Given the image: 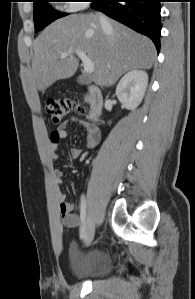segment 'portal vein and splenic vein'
I'll use <instances>...</instances> for the list:
<instances>
[{
    "mask_svg": "<svg viewBox=\"0 0 195 299\" xmlns=\"http://www.w3.org/2000/svg\"><path fill=\"white\" fill-rule=\"evenodd\" d=\"M77 56L81 59L84 65V71L87 74H92L94 72V63L91 59H89L85 52L83 51H76ZM69 55V53H61V57L65 58Z\"/></svg>",
    "mask_w": 195,
    "mask_h": 299,
    "instance_id": "portal-vein-and-splenic-vein-1",
    "label": "portal vein and splenic vein"
}]
</instances>
